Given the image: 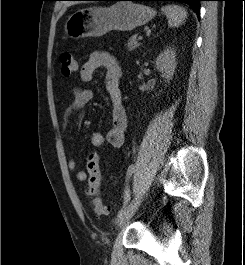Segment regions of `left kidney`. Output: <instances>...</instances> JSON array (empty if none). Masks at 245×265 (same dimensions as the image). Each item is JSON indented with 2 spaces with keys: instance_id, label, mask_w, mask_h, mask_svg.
<instances>
[{
  "instance_id": "left-kidney-1",
  "label": "left kidney",
  "mask_w": 245,
  "mask_h": 265,
  "mask_svg": "<svg viewBox=\"0 0 245 265\" xmlns=\"http://www.w3.org/2000/svg\"><path fill=\"white\" fill-rule=\"evenodd\" d=\"M176 52L174 49H166L156 59L157 70L163 73L167 82L172 79L176 68Z\"/></svg>"
}]
</instances>
